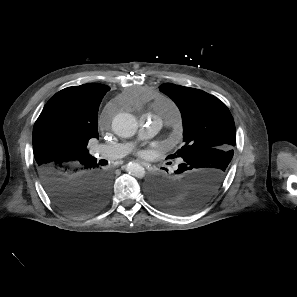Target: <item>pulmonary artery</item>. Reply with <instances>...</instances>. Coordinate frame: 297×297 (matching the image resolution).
I'll return each mask as SVG.
<instances>
[{"instance_id":"e3ab8cb5","label":"pulmonary artery","mask_w":297,"mask_h":297,"mask_svg":"<svg viewBox=\"0 0 297 297\" xmlns=\"http://www.w3.org/2000/svg\"><path fill=\"white\" fill-rule=\"evenodd\" d=\"M160 112L161 115L159 117L149 118L145 115L142 116L141 137H150L154 135L160 129L163 122L170 124L178 117L177 109L171 103L164 104L160 109ZM131 147L132 145L129 143L104 144L93 146L91 151L99 157L114 160L127 155L130 152Z\"/></svg>"}]
</instances>
